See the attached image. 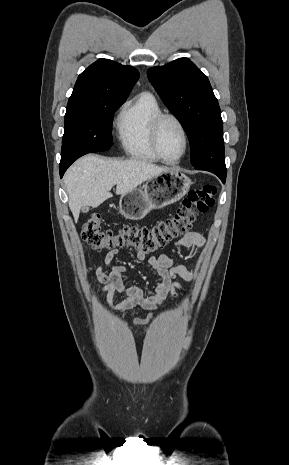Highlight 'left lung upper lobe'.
Returning <instances> with one entry per match:
<instances>
[{
  "label": "left lung upper lobe",
  "instance_id": "left-lung-upper-lobe-1",
  "mask_svg": "<svg viewBox=\"0 0 289 465\" xmlns=\"http://www.w3.org/2000/svg\"><path fill=\"white\" fill-rule=\"evenodd\" d=\"M147 75L187 133L195 169L226 173L223 121L207 76L188 58L153 67Z\"/></svg>",
  "mask_w": 289,
  "mask_h": 465
}]
</instances>
